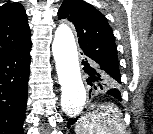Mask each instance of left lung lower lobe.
I'll return each mask as SVG.
<instances>
[{
	"mask_svg": "<svg viewBox=\"0 0 153 134\" xmlns=\"http://www.w3.org/2000/svg\"><path fill=\"white\" fill-rule=\"evenodd\" d=\"M82 65H84V71L89 75L87 83L91 86L90 93H94L96 90L105 89V85L107 81L113 77V73L89 59L82 60ZM107 93L118 100H121V94L119 90L112 89ZM77 119L78 118L69 119L68 127L75 123Z\"/></svg>",
	"mask_w": 153,
	"mask_h": 134,
	"instance_id": "obj_1",
	"label": "left lung lower lobe"
}]
</instances>
